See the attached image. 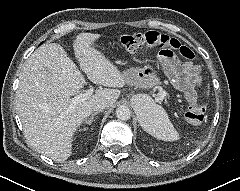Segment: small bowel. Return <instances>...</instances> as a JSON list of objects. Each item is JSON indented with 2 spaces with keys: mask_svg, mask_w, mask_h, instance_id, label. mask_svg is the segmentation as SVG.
I'll list each match as a JSON object with an SVG mask.
<instances>
[{
  "mask_svg": "<svg viewBox=\"0 0 240 191\" xmlns=\"http://www.w3.org/2000/svg\"><path fill=\"white\" fill-rule=\"evenodd\" d=\"M169 73L174 84L186 95L188 102L195 103L197 99L195 88L201 83L200 66L174 60L169 65Z\"/></svg>",
  "mask_w": 240,
  "mask_h": 191,
  "instance_id": "small-bowel-1",
  "label": "small bowel"
}]
</instances>
